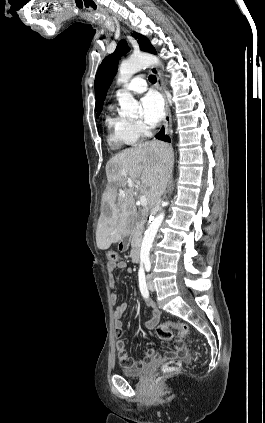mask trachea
Segmentation results:
<instances>
[{"label":"trachea","instance_id":"3493384b","mask_svg":"<svg viewBox=\"0 0 265 423\" xmlns=\"http://www.w3.org/2000/svg\"><path fill=\"white\" fill-rule=\"evenodd\" d=\"M148 79L151 83H156V81H157V78H156L155 75H150Z\"/></svg>","mask_w":265,"mask_h":423}]
</instances>
